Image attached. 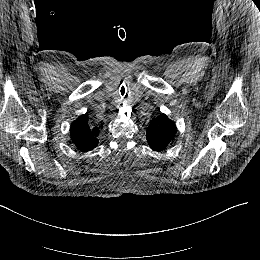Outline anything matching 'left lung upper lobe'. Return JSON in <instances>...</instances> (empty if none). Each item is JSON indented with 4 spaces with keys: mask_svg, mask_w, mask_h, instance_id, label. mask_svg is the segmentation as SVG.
Returning a JSON list of instances; mask_svg holds the SVG:
<instances>
[{
    "mask_svg": "<svg viewBox=\"0 0 260 260\" xmlns=\"http://www.w3.org/2000/svg\"><path fill=\"white\" fill-rule=\"evenodd\" d=\"M176 133V125L165 114L154 118L147 128L146 138L152 150L161 152L167 148Z\"/></svg>",
    "mask_w": 260,
    "mask_h": 260,
    "instance_id": "5c2ea615",
    "label": "left lung upper lobe"
}]
</instances>
